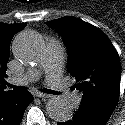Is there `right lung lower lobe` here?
I'll list each match as a JSON object with an SVG mask.
<instances>
[{
	"mask_svg": "<svg viewBox=\"0 0 125 125\" xmlns=\"http://www.w3.org/2000/svg\"><path fill=\"white\" fill-rule=\"evenodd\" d=\"M30 92L12 93L0 98V125H20L27 106L32 102Z\"/></svg>",
	"mask_w": 125,
	"mask_h": 125,
	"instance_id": "obj_1",
	"label": "right lung lower lobe"
}]
</instances>
